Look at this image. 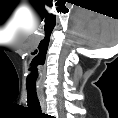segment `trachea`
<instances>
[{
    "label": "trachea",
    "mask_w": 118,
    "mask_h": 118,
    "mask_svg": "<svg viewBox=\"0 0 118 118\" xmlns=\"http://www.w3.org/2000/svg\"><path fill=\"white\" fill-rule=\"evenodd\" d=\"M27 103L31 109L35 111L39 110L41 112V107L38 100L36 89L27 88Z\"/></svg>",
    "instance_id": "1"
}]
</instances>
